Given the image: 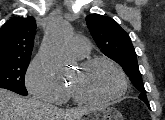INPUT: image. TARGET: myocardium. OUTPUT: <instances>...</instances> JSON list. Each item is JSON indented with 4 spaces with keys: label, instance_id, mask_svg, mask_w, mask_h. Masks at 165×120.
<instances>
[{
    "label": "myocardium",
    "instance_id": "myocardium-1",
    "mask_svg": "<svg viewBox=\"0 0 165 120\" xmlns=\"http://www.w3.org/2000/svg\"><path fill=\"white\" fill-rule=\"evenodd\" d=\"M99 64H107L113 67L118 72L121 79L120 90L116 94L110 97L96 99V98H90L84 95L76 86L70 85L69 90L76 101L80 103H85V104H107V103L114 102L125 95L128 88V78L123 68L117 62L105 57H96V58H91V59H87L83 61L80 64L79 68L82 71H87L88 69Z\"/></svg>",
    "mask_w": 165,
    "mask_h": 120
}]
</instances>
